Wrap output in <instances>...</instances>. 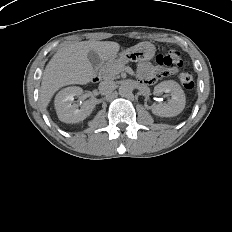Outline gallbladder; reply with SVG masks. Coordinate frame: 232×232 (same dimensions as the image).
Listing matches in <instances>:
<instances>
[{
	"instance_id": "gallbladder-1",
	"label": "gallbladder",
	"mask_w": 232,
	"mask_h": 232,
	"mask_svg": "<svg viewBox=\"0 0 232 232\" xmlns=\"http://www.w3.org/2000/svg\"><path fill=\"white\" fill-rule=\"evenodd\" d=\"M87 57H88V60L90 61V63L92 64L93 67H98L100 65L101 58L97 52L91 50V51H89Z\"/></svg>"
}]
</instances>
